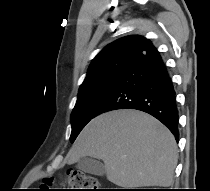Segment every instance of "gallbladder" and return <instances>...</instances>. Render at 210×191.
<instances>
[{
  "mask_svg": "<svg viewBox=\"0 0 210 191\" xmlns=\"http://www.w3.org/2000/svg\"><path fill=\"white\" fill-rule=\"evenodd\" d=\"M76 168L93 175L102 176L105 173V168L103 164L91 157L81 158L76 165Z\"/></svg>",
  "mask_w": 210,
  "mask_h": 191,
  "instance_id": "gallbladder-1",
  "label": "gallbladder"
}]
</instances>
